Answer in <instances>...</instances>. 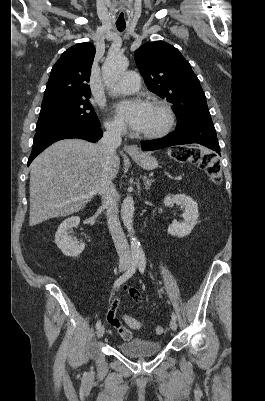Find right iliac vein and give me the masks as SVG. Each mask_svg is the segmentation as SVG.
Instances as JSON below:
<instances>
[{
  "label": "right iliac vein",
  "instance_id": "1",
  "mask_svg": "<svg viewBox=\"0 0 265 401\" xmlns=\"http://www.w3.org/2000/svg\"><path fill=\"white\" fill-rule=\"evenodd\" d=\"M128 268H129V264H128V263H120V264H119V271H120V272H123V271H125V270L128 269ZM104 331H105L104 326H100V327L98 328V330H97V337H98V338L103 337Z\"/></svg>",
  "mask_w": 265,
  "mask_h": 401
}]
</instances>
